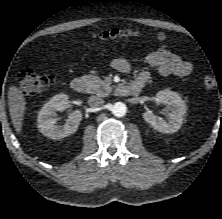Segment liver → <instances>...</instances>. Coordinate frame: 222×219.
I'll use <instances>...</instances> for the list:
<instances>
[{
    "label": "liver",
    "mask_w": 222,
    "mask_h": 219,
    "mask_svg": "<svg viewBox=\"0 0 222 219\" xmlns=\"http://www.w3.org/2000/svg\"><path fill=\"white\" fill-rule=\"evenodd\" d=\"M8 105L13 126L16 132L20 134L23 124L26 102L21 90L16 86H11L9 88Z\"/></svg>",
    "instance_id": "6515ba94"
}]
</instances>
